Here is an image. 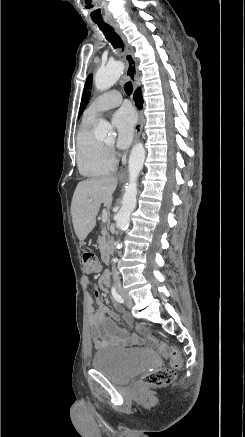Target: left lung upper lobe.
I'll list each match as a JSON object with an SVG mask.
<instances>
[{
	"instance_id": "left-lung-upper-lobe-1",
	"label": "left lung upper lobe",
	"mask_w": 245,
	"mask_h": 437,
	"mask_svg": "<svg viewBox=\"0 0 245 437\" xmlns=\"http://www.w3.org/2000/svg\"><path fill=\"white\" fill-rule=\"evenodd\" d=\"M92 87V74L88 76L86 79V83L84 86V91L82 95L81 105H80V111L79 116L83 113L84 109L86 108V105L88 104L89 98H90V89Z\"/></svg>"
}]
</instances>
